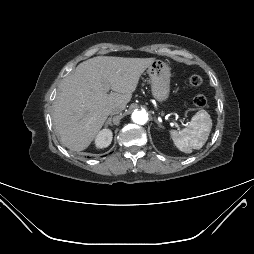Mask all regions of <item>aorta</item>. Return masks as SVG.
Listing matches in <instances>:
<instances>
[{"instance_id": "1", "label": "aorta", "mask_w": 254, "mask_h": 254, "mask_svg": "<svg viewBox=\"0 0 254 254\" xmlns=\"http://www.w3.org/2000/svg\"><path fill=\"white\" fill-rule=\"evenodd\" d=\"M132 120L140 125L147 122V114L144 111H135L132 113Z\"/></svg>"}]
</instances>
